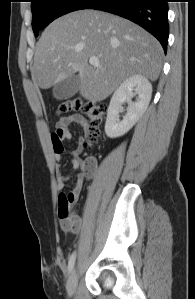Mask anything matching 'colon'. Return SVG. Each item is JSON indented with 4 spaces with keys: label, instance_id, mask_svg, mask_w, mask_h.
<instances>
[{
    "label": "colon",
    "instance_id": "colon-1",
    "mask_svg": "<svg viewBox=\"0 0 195 299\" xmlns=\"http://www.w3.org/2000/svg\"><path fill=\"white\" fill-rule=\"evenodd\" d=\"M58 111L60 113L67 112H79L86 115L92 125L91 130L88 134V140L94 141L98 135V127L102 124L104 116L107 111V107L104 103L94 102L90 100H85L80 97H69L63 99L58 106ZM87 174L89 170L85 169ZM63 194L60 198L59 205V216L60 217H69L74 213V203L73 197L66 196Z\"/></svg>",
    "mask_w": 195,
    "mask_h": 299
}]
</instances>
